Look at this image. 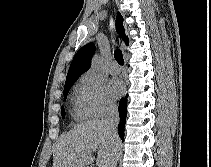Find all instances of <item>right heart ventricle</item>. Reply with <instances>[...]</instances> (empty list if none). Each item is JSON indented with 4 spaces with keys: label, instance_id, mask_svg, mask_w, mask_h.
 Returning a JSON list of instances; mask_svg holds the SVG:
<instances>
[{
    "label": "right heart ventricle",
    "instance_id": "1",
    "mask_svg": "<svg viewBox=\"0 0 211 167\" xmlns=\"http://www.w3.org/2000/svg\"><path fill=\"white\" fill-rule=\"evenodd\" d=\"M76 91H77V89H76ZM73 115L76 118H80V119H83V118L87 117L85 112L80 107L78 96H77L76 101H75V106H74V109H73Z\"/></svg>",
    "mask_w": 211,
    "mask_h": 167
}]
</instances>
